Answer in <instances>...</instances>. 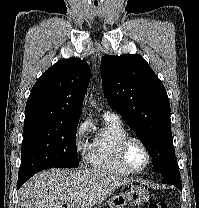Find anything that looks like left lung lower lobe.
Returning a JSON list of instances; mask_svg holds the SVG:
<instances>
[{"label":"left lung lower lobe","instance_id":"0a47b994","mask_svg":"<svg viewBox=\"0 0 199 208\" xmlns=\"http://www.w3.org/2000/svg\"><path fill=\"white\" fill-rule=\"evenodd\" d=\"M163 182L176 186L178 189L182 190L181 181L179 174L163 176Z\"/></svg>","mask_w":199,"mask_h":208}]
</instances>
